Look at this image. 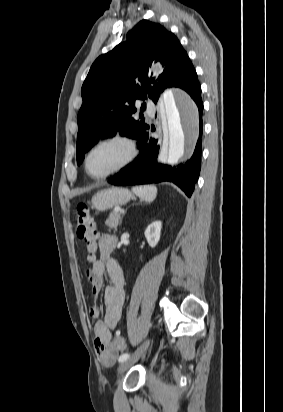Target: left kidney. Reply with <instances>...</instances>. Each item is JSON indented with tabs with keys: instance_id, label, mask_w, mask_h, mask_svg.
<instances>
[{
	"instance_id": "left-kidney-1",
	"label": "left kidney",
	"mask_w": 283,
	"mask_h": 412,
	"mask_svg": "<svg viewBox=\"0 0 283 412\" xmlns=\"http://www.w3.org/2000/svg\"><path fill=\"white\" fill-rule=\"evenodd\" d=\"M161 228V221H155L145 230L144 235L150 247H155L158 244L161 236Z\"/></svg>"
}]
</instances>
